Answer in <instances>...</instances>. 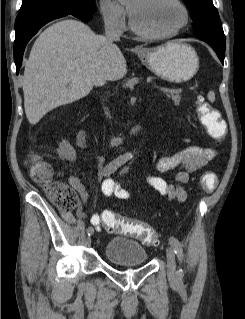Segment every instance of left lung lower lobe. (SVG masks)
<instances>
[{"label": "left lung lower lobe", "mask_w": 245, "mask_h": 319, "mask_svg": "<svg viewBox=\"0 0 245 319\" xmlns=\"http://www.w3.org/2000/svg\"><path fill=\"white\" fill-rule=\"evenodd\" d=\"M211 46L215 50V52H216L217 56L219 57V59L221 60V62L224 63L225 49H221L215 45H211Z\"/></svg>", "instance_id": "obj_1"}]
</instances>
